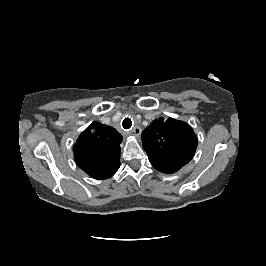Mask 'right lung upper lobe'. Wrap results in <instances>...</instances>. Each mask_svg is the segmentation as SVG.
I'll return each instance as SVG.
<instances>
[{"label": "right lung upper lobe", "mask_w": 266, "mask_h": 266, "mask_svg": "<svg viewBox=\"0 0 266 266\" xmlns=\"http://www.w3.org/2000/svg\"><path fill=\"white\" fill-rule=\"evenodd\" d=\"M122 135L113 127L91 123L73 146L76 164L94 179H107L120 167Z\"/></svg>", "instance_id": "obj_1"}]
</instances>
